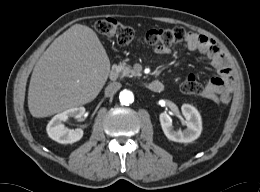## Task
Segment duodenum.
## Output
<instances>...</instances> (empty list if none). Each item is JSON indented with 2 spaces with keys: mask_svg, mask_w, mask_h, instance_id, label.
Instances as JSON below:
<instances>
[{
  "mask_svg": "<svg viewBox=\"0 0 260 192\" xmlns=\"http://www.w3.org/2000/svg\"><path fill=\"white\" fill-rule=\"evenodd\" d=\"M109 77L112 81L116 80L117 78V71L115 69H112L109 73ZM148 89L152 92H161L164 89V85L159 80H153L148 84Z\"/></svg>",
  "mask_w": 260,
  "mask_h": 192,
  "instance_id": "duodenum-1",
  "label": "duodenum"
}]
</instances>
